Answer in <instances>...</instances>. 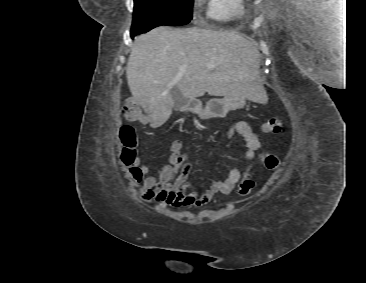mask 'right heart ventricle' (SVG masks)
<instances>
[{
	"label": "right heart ventricle",
	"instance_id": "e07e8e85",
	"mask_svg": "<svg viewBox=\"0 0 366 283\" xmlns=\"http://www.w3.org/2000/svg\"><path fill=\"white\" fill-rule=\"evenodd\" d=\"M245 13L244 0H209L208 16L216 21L230 22Z\"/></svg>",
	"mask_w": 366,
	"mask_h": 283
}]
</instances>
